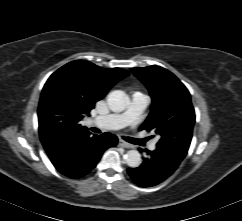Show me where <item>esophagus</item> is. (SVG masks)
I'll list each match as a JSON object with an SVG mask.
<instances>
[{"label": "esophagus", "mask_w": 242, "mask_h": 221, "mask_svg": "<svg viewBox=\"0 0 242 221\" xmlns=\"http://www.w3.org/2000/svg\"><path fill=\"white\" fill-rule=\"evenodd\" d=\"M119 146L124 147V148H132L133 146L127 142H125L124 140H119Z\"/></svg>", "instance_id": "1"}]
</instances>
